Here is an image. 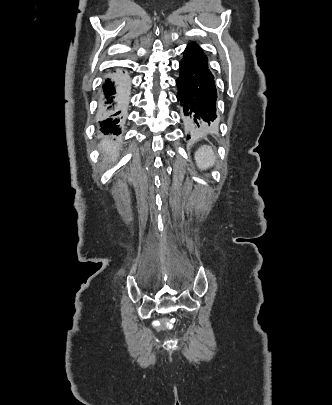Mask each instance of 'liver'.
<instances>
[{"label": "liver", "instance_id": "6515ba94", "mask_svg": "<svg viewBox=\"0 0 332 405\" xmlns=\"http://www.w3.org/2000/svg\"><path fill=\"white\" fill-rule=\"evenodd\" d=\"M103 154L104 162H114L119 154V144L113 141L103 140L99 145Z\"/></svg>", "mask_w": 332, "mask_h": 405}]
</instances>
